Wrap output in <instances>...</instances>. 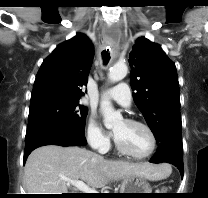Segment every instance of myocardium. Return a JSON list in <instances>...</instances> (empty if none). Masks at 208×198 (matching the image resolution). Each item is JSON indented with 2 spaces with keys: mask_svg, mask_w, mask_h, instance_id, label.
<instances>
[{
  "mask_svg": "<svg viewBox=\"0 0 208 198\" xmlns=\"http://www.w3.org/2000/svg\"><path fill=\"white\" fill-rule=\"evenodd\" d=\"M125 121L129 124L140 126L148 132V134L150 136V139H151V148L146 154L137 155V154L132 153L130 150H128L122 143H120L115 138V146H116L117 150L120 153H122V154H124L128 157H131L133 159H136V160H144V159H147L150 156H152L153 153L156 151V148H157V137H156V134L153 131V129L147 123H145L143 121H140V120H137V119H134V118H126Z\"/></svg>",
  "mask_w": 208,
  "mask_h": 198,
  "instance_id": "1",
  "label": "myocardium"
}]
</instances>
